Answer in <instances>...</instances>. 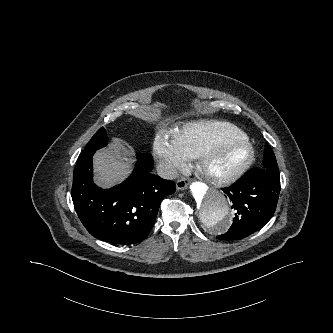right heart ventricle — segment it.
<instances>
[{
    "instance_id": "e07e8e85",
    "label": "right heart ventricle",
    "mask_w": 333,
    "mask_h": 333,
    "mask_svg": "<svg viewBox=\"0 0 333 333\" xmlns=\"http://www.w3.org/2000/svg\"><path fill=\"white\" fill-rule=\"evenodd\" d=\"M224 136L248 138L237 126L212 120L189 123L172 133L173 141L188 160L196 159L209 143Z\"/></svg>"
}]
</instances>
